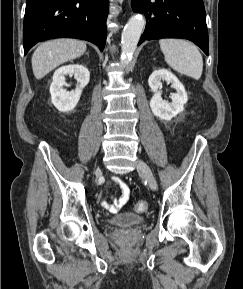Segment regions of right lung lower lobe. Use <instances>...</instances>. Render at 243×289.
<instances>
[{"label": "right lung lower lobe", "instance_id": "98d812e1", "mask_svg": "<svg viewBox=\"0 0 243 289\" xmlns=\"http://www.w3.org/2000/svg\"><path fill=\"white\" fill-rule=\"evenodd\" d=\"M107 14L108 0H27L24 53L39 41L59 37L84 39L102 51Z\"/></svg>", "mask_w": 243, "mask_h": 289}]
</instances>
